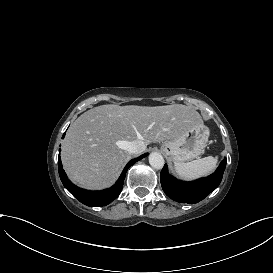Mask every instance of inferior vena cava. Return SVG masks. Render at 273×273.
<instances>
[{
    "label": "inferior vena cava",
    "mask_w": 273,
    "mask_h": 273,
    "mask_svg": "<svg viewBox=\"0 0 273 273\" xmlns=\"http://www.w3.org/2000/svg\"><path fill=\"white\" fill-rule=\"evenodd\" d=\"M146 145L144 144L143 141L141 140H134L131 142H128L126 150L128 151V153L130 154H138L141 153L145 150Z\"/></svg>",
    "instance_id": "inferior-vena-cava-1"
}]
</instances>
